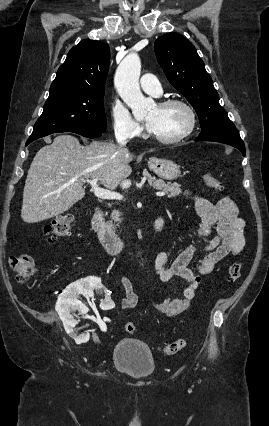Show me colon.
Wrapping results in <instances>:
<instances>
[{"mask_svg":"<svg viewBox=\"0 0 269 426\" xmlns=\"http://www.w3.org/2000/svg\"><path fill=\"white\" fill-rule=\"evenodd\" d=\"M205 184L215 190H222V183L210 173L204 175ZM74 218L71 214H61L54 218L51 225L45 229V235L49 242L67 236L73 226ZM9 264L14 272L15 280L18 283L28 282L37 272V266L30 255L22 254L10 257ZM242 272V265L238 262L233 263L228 270L229 282L236 281ZM124 329L128 333H135L137 328L133 322H127ZM188 344V339L180 338L174 342L167 343L162 347V350L167 355H173L182 350Z\"/></svg>","mask_w":269,"mask_h":426,"instance_id":"1","label":"colon"}]
</instances>
